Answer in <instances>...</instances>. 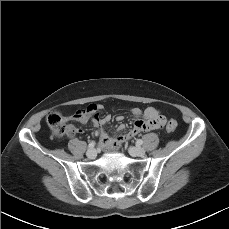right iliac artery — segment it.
Masks as SVG:
<instances>
[{
  "instance_id": "right-iliac-artery-1",
  "label": "right iliac artery",
  "mask_w": 229,
  "mask_h": 229,
  "mask_svg": "<svg viewBox=\"0 0 229 229\" xmlns=\"http://www.w3.org/2000/svg\"><path fill=\"white\" fill-rule=\"evenodd\" d=\"M96 145L95 141H91L88 145L89 148H93Z\"/></svg>"
}]
</instances>
